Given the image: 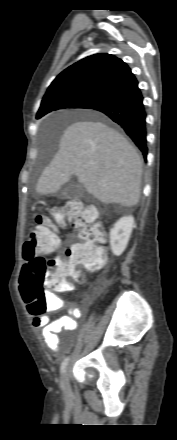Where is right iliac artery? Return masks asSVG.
I'll return each instance as SVG.
<instances>
[{
    "mask_svg": "<svg viewBox=\"0 0 177 440\" xmlns=\"http://www.w3.org/2000/svg\"><path fill=\"white\" fill-rule=\"evenodd\" d=\"M68 362H69V357H66V358L63 360V362H62V364H61V367H60V372H61V374L64 373L65 368H66ZM61 385H62V387H64L63 381H61Z\"/></svg>",
    "mask_w": 177,
    "mask_h": 440,
    "instance_id": "obj_1",
    "label": "right iliac artery"
}]
</instances>
